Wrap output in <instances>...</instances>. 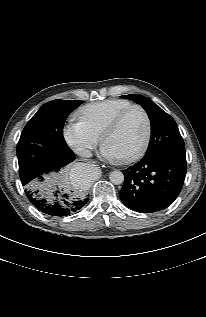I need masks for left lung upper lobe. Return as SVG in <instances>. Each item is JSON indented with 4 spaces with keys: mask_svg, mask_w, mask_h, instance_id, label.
<instances>
[{
    "mask_svg": "<svg viewBox=\"0 0 206 317\" xmlns=\"http://www.w3.org/2000/svg\"><path fill=\"white\" fill-rule=\"evenodd\" d=\"M140 104L147 112L151 121V140L145 156L157 154H177L185 156L184 141L174 119L164 112L151 99L140 94L123 95Z\"/></svg>",
    "mask_w": 206,
    "mask_h": 317,
    "instance_id": "1",
    "label": "left lung upper lobe"
}]
</instances>
